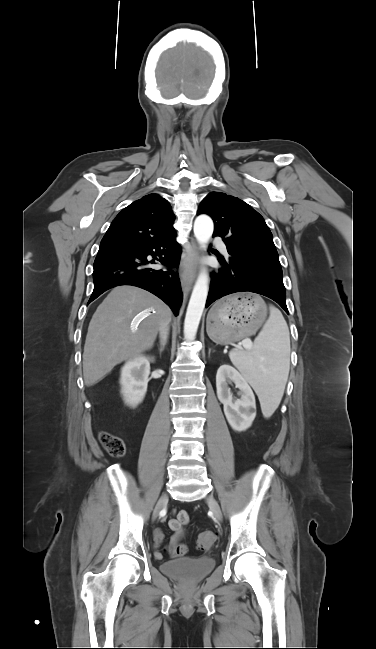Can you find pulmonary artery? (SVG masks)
<instances>
[{"mask_svg": "<svg viewBox=\"0 0 376 649\" xmlns=\"http://www.w3.org/2000/svg\"><path fill=\"white\" fill-rule=\"evenodd\" d=\"M213 242L220 247L223 252H227L226 245L218 238L213 239Z\"/></svg>", "mask_w": 376, "mask_h": 649, "instance_id": "pulmonary-artery-1", "label": "pulmonary artery"}]
</instances>
